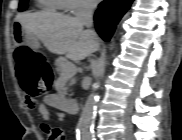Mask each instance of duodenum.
<instances>
[{
    "instance_id": "410a0bca",
    "label": "duodenum",
    "mask_w": 182,
    "mask_h": 140,
    "mask_svg": "<svg viewBox=\"0 0 182 140\" xmlns=\"http://www.w3.org/2000/svg\"><path fill=\"white\" fill-rule=\"evenodd\" d=\"M79 106L80 104L77 100H69L62 105L63 109L73 113L78 110Z\"/></svg>"
}]
</instances>
